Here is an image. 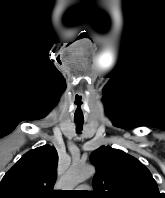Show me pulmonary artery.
<instances>
[{
	"label": "pulmonary artery",
	"mask_w": 165,
	"mask_h": 198,
	"mask_svg": "<svg viewBox=\"0 0 165 198\" xmlns=\"http://www.w3.org/2000/svg\"><path fill=\"white\" fill-rule=\"evenodd\" d=\"M83 188H86V186H85V185H83V186H81V187H80V189H83Z\"/></svg>",
	"instance_id": "1"
}]
</instances>
